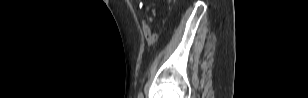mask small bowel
I'll list each match as a JSON object with an SVG mask.
<instances>
[{
  "instance_id": "1",
  "label": "small bowel",
  "mask_w": 308,
  "mask_h": 98,
  "mask_svg": "<svg viewBox=\"0 0 308 98\" xmlns=\"http://www.w3.org/2000/svg\"><path fill=\"white\" fill-rule=\"evenodd\" d=\"M142 31L146 37L152 33L148 23L145 20L142 21Z\"/></svg>"
}]
</instances>
